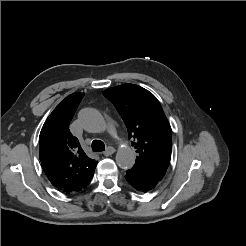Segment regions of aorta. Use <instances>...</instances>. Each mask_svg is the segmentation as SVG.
<instances>
[{
  "label": "aorta",
  "instance_id": "1",
  "mask_svg": "<svg viewBox=\"0 0 246 246\" xmlns=\"http://www.w3.org/2000/svg\"><path fill=\"white\" fill-rule=\"evenodd\" d=\"M80 123L89 132H100L104 127L102 115L95 109L86 108L79 114ZM135 153L128 146H122L116 154V163L121 169H130L135 163Z\"/></svg>",
  "mask_w": 246,
  "mask_h": 246
}]
</instances>
